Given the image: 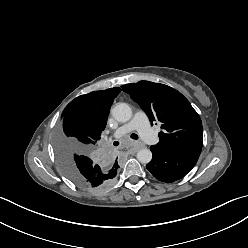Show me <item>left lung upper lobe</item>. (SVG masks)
<instances>
[{
	"label": "left lung upper lobe",
	"mask_w": 248,
	"mask_h": 248,
	"mask_svg": "<svg viewBox=\"0 0 248 248\" xmlns=\"http://www.w3.org/2000/svg\"><path fill=\"white\" fill-rule=\"evenodd\" d=\"M162 131L155 148L170 150L203 144L202 121L189 101L177 90L160 83L139 81L121 86Z\"/></svg>",
	"instance_id": "5c2ea615"
}]
</instances>
